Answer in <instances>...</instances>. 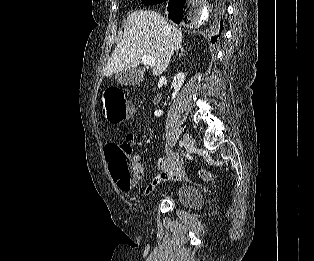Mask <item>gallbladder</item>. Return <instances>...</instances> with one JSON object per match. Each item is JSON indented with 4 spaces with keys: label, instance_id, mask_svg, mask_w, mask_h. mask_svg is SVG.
<instances>
[{
    "label": "gallbladder",
    "instance_id": "obj_1",
    "mask_svg": "<svg viewBox=\"0 0 314 261\" xmlns=\"http://www.w3.org/2000/svg\"><path fill=\"white\" fill-rule=\"evenodd\" d=\"M144 76V70L129 69L115 75V80L125 86H136L140 84Z\"/></svg>",
    "mask_w": 314,
    "mask_h": 261
}]
</instances>
